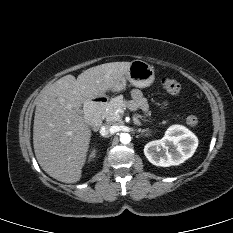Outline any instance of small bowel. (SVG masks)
I'll return each instance as SVG.
<instances>
[{"instance_id":"1","label":"small bowel","mask_w":233,"mask_h":233,"mask_svg":"<svg viewBox=\"0 0 233 233\" xmlns=\"http://www.w3.org/2000/svg\"><path fill=\"white\" fill-rule=\"evenodd\" d=\"M131 97H132V105L134 107L139 108L143 111H146L148 109L147 102L140 90L133 89L131 91Z\"/></svg>"}]
</instances>
